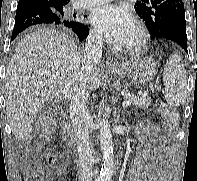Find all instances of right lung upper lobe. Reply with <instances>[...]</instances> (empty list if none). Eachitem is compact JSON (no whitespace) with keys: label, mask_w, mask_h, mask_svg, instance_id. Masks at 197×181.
<instances>
[{"label":"right lung upper lobe","mask_w":197,"mask_h":181,"mask_svg":"<svg viewBox=\"0 0 197 181\" xmlns=\"http://www.w3.org/2000/svg\"><path fill=\"white\" fill-rule=\"evenodd\" d=\"M42 4H51V5H67L70 0H29Z\"/></svg>","instance_id":"1"}]
</instances>
